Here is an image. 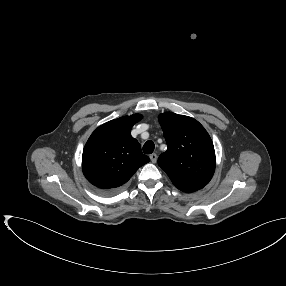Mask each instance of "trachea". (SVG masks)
Masks as SVG:
<instances>
[{
    "instance_id": "obj_1",
    "label": "trachea",
    "mask_w": 286,
    "mask_h": 286,
    "mask_svg": "<svg viewBox=\"0 0 286 286\" xmlns=\"http://www.w3.org/2000/svg\"><path fill=\"white\" fill-rule=\"evenodd\" d=\"M155 145L152 141H147L143 146V152L145 154H151L154 151Z\"/></svg>"
}]
</instances>
